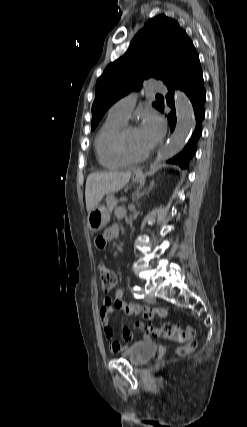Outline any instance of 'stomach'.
I'll list each match as a JSON object with an SVG mask.
<instances>
[{
	"label": "stomach",
	"mask_w": 247,
	"mask_h": 427,
	"mask_svg": "<svg viewBox=\"0 0 247 427\" xmlns=\"http://www.w3.org/2000/svg\"><path fill=\"white\" fill-rule=\"evenodd\" d=\"M135 181H140L139 177H135ZM110 219V211L105 207L98 205L88 214V226L93 232L103 229Z\"/></svg>",
	"instance_id": "1"
}]
</instances>
